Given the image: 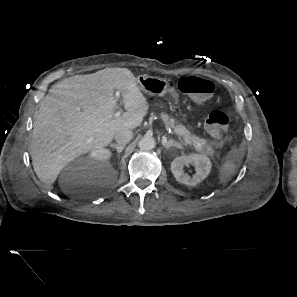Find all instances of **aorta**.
<instances>
[{"instance_id":"1","label":"aorta","mask_w":297,"mask_h":297,"mask_svg":"<svg viewBox=\"0 0 297 297\" xmlns=\"http://www.w3.org/2000/svg\"><path fill=\"white\" fill-rule=\"evenodd\" d=\"M156 145L155 139L151 136H144L138 142V147L143 151L152 150Z\"/></svg>"}]
</instances>
